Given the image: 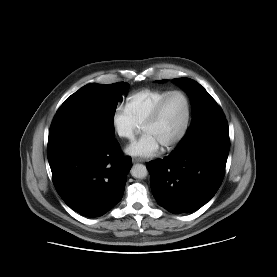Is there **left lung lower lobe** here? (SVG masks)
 I'll list each match as a JSON object with an SVG mask.
<instances>
[{
  "mask_svg": "<svg viewBox=\"0 0 277 277\" xmlns=\"http://www.w3.org/2000/svg\"><path fill=\"white\" fill-rule=\"evenodd\" d=\"M230 149L227 121L203 127L165 159L146 164L151 190L168 211L193 212L219 189Z\"/></svg>",
  "mask_w": 277,
  "mask_h": 277,
  "instance_id": "left-lung-lower-lobe-1",
  "label": "left lung lower lobe"
}]
</instances>
